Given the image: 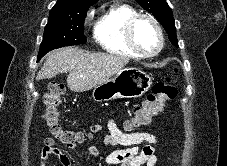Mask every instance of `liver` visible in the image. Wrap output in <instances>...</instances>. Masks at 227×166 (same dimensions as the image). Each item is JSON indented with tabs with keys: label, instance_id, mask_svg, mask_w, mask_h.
Returning a JSON list of instances; mask_svg holds the SVG:
<instances>
[{
	"label": "liver",
	"instance_id": "1",
	"mask_svg": "<svg viewBox=\"0 0 227 166\" xmlns=\"http://www.w3.org/2000/svg\"><path fill=\"white\" fill-rule=\"evenodd\" d=\"M129 60L125 56L90 53L79 48L64 47L46 55L36 79H50L59 73L69 72L68 88L74 92H85L107 82L122 70Z\"/></svg>",
	"mask_w": 227,
	"mask_h": 166
}]
</instances>
